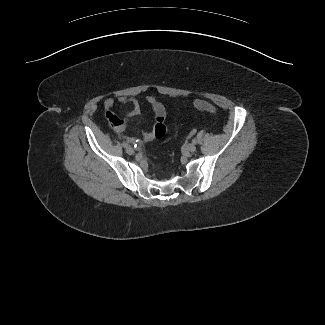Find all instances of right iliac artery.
Returning a JSON list of instances; mask_svg holds the SVG:
<instances>
[{
	"label": "right iliac artery",
	"mask_w": 325,
	"mask_h": 325,
	"mask_svg": "<svg viewBox=\"0 0 325 325\" xmlns=\"http://www.w3.org/2000/svg\"><path fill=\"white\" fill-rule=\"evenodd\" d=\"M122 145L126 147L128 144L126 142H123Z\"/></svg>",
	"instance_id": "right-iliac-artery-1"
}]
</instances>
